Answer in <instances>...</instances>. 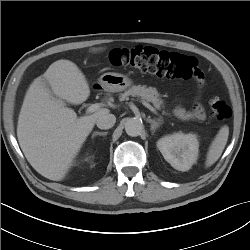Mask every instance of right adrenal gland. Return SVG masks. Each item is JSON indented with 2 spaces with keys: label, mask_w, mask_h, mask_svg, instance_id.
Here are the masks:
<instances>
[{
  "label": "right adrenal gland",
  "mask_w": 250,
  "mask_h": 250,
  "mask_svg": "<svg viewBox=\"0 0 250 250\" xmlns=\"http://www.w3.org/2000/svg\"><path fill=\"white\" fill-rule=\"evenodd\" d=\"M107 134H108V132H94L93 137L96 136V135L106 136Z\"/></svg>",
  "instance_id": "1"
}]
</instances>
